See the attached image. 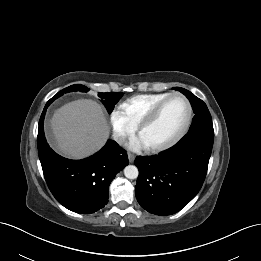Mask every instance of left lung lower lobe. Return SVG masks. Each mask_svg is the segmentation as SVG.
Here are the masks:
<instances>
[{"mask_svg":"<svg viewBox=\"0 0 261 261\" xmlns=\"http://www.w3.org/2000/svg\"><path fill=\"white\" fill-rule=\"evenodd\" d=\"M214 133L188 132L177 144L153 156H137L135 194L150 213L165 216L180 211L199 192L206 177Z\"/></svg>","mask_w":261,"mask_h":261,"instance_id":"0a47b994","label":"left lung lower lobe"}]
</instances>
